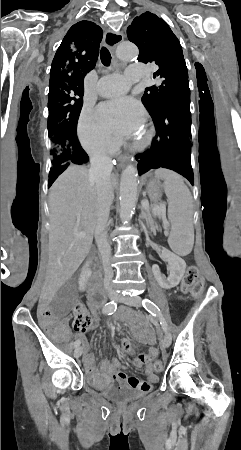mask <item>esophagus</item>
<instances>
[{"label":"esophagus","instance_id":"obj_1","mask_svg":"<svg viewBox=\"0 0 241 450\" xmlns=\"http://www.w3.org/2000/svg\"><path fill=\"white\" fill-rule=\"evenodd\" d=\"M123 40V34L121 32H113L107 30L104 33L103 42L109 47L112 54L115 56V50L117 45ZM131 160L129 155H123L118 159V166L124 167V165Z\"/></svg>","mask_w":241,"mask_h":450}]
</instances>
